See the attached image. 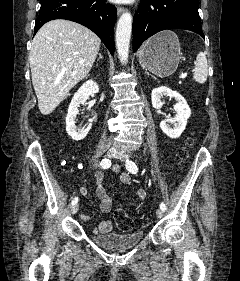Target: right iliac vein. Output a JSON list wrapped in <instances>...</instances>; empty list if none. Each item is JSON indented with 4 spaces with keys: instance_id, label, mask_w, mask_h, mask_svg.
I'll list each match as a JSON object with an SVG mask.
<instances>
[{
    "instance_id": "right-iliac-vein-1",
    "label": "right iliac vein",
    "mask_w": 240,
    "mask_h": 281,
    "mask_svg": "<svg viewBox=\"0 0 240 281\" xmlns=\"http://www.w3.org/2000/svg\"><path fill=\"white\" fill-rule=\"evenodd\" d=\"M116 154H117V150H116V148H113V147L110 148V149H108L107 152H106V156H107L108 158H112V157H114ZM78 209H79V205H78V204L73 205L72 208H71V213H72L73 215L76 214L77 211H78Z\"/></svg>"
}]
</instances>
